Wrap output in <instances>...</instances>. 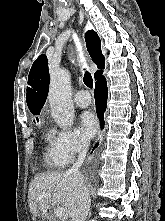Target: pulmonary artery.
I'll return each mask as SVG.
<instances>
[{
  "instance_id": "obj_1",
  "label": "pulmonary artery",
  "mask_w": 165,
  "mask_h": 221,
  "mask_svg": "<svg viewBox=\"0 0 165 221\" xmlns=\"http://www.w3.org/2000/svg\"><path fill=\"white\" fill-rule=\"evenodd\" d=\"M74 102L78 107L85 108L91 103V97L86 90H79L74 95Z\"/></svg>"
}]
</instances>
